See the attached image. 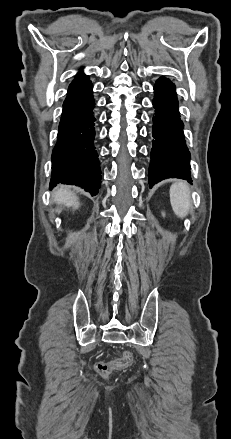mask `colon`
<instances>
[{
	"label": "colon",
	"mask_w": 231,
	"mask_h": 439,
	"mask_svg": "<svg viewBox=\"0 0 231 439\" xmlns=\"http://www.w3.org/2000/svg\"><path fill=\"white\" fill-rule=\"evenodd\" d=\"M133 360V354L129 351H125L118 359L99 362L95 366V370L100 375L107 376L115 369H123L129 367L133 363Z\"/></svg>",
	"instance_id": "1"
}]
</instances>
